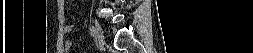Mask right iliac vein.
Here are the masks:
<instances>
[{
	"instance_id": "obj_1",
	"label": "right iliac vein",
	"mask_w": 253,
	"mask_h": 53,
	"mask_svg": "<svg viewBox=\"0 0 253 53\" xmlns=\"http://www.w3.org/2000/svg\"><path fill=\"white\" fill-rule=\"evenodd\" d=\"M95 33H96V39L99 43L100 46H104L105 45V40H104V36H103V32L101 29V26L99 25L98 22H95Z\"/></svg>"
}]
</instances>
